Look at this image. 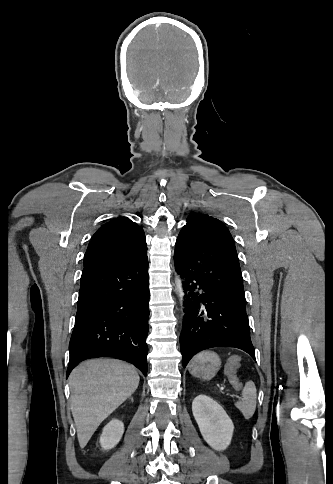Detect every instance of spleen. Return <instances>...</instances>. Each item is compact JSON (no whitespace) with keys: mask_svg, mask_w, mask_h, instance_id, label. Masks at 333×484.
I'll return each instance as SVG.
<instances>
[{"mask_svg":"<svg viewBox=\"0 0 333 484\" xmlns=\"http://www.w3.org/2000/svg\"><path fill=\"white\" fill-rule=\"evenodd\" d=\"M232 383L235 385L236 380L234 379ZM256 387L252 381H248L242 390V399L235 403V407L242 413L245 419H250L256 409Z\"/></svg>","mask_w":333,"mask_h":484,"instance_id":"obj_1","label":"spleen"}]
</instances>
